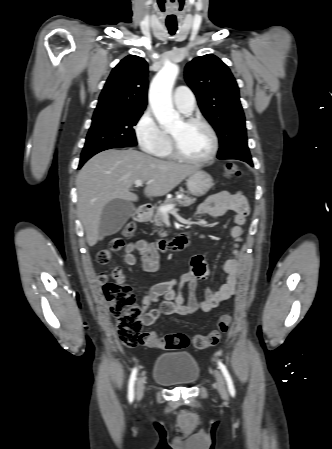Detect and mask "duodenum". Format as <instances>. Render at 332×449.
Returning <instances> with one entry per match:
<instances>
[{"instance_id": "obj_1", "label": "duodenum", "mask_w": 332, "mask_h": 449, "mask_svg": "<svg viewBox=\"0 0 332 449\" xmlns=\"http://www.w3.org/2000/svg\"><path fill=\"white\" fill-rule=\"evenodd\" d=\"M150 213V208L146 205L140 206L135 215L134 219L137 223H144L148 220ZM189 235L187 233H182L171 240H162L157 242V246L160 250H174L179 251L185 248L189 243Z\"/></svg>"}]
</instances>
